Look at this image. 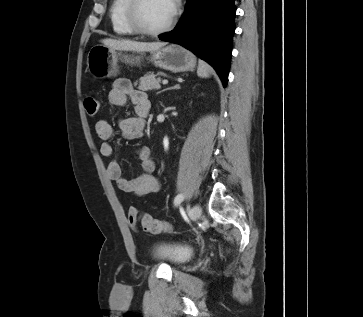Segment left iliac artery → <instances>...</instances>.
I'll return each mask as SVG.
<instances>
[{"label":"left iliac artery","instance_id":"left-iliac-artery-1","mask_svg":"<svg viewBox=\"0 0 363 317\" xmlns=\"http://www.w3.org/2000/svg\"><path fill=\"white\" fill-rule=\"evenodd\" d=\"M184 200L183 194H178L174 199L175 206L179 205Z\"/></svg>","mask_w":363,"mask_h":317}]
</instances>
